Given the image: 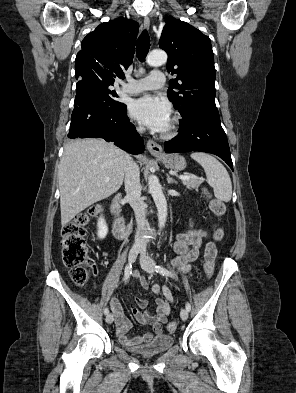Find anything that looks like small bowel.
Masks as SVG:
<instances>
[{
	"instance_id": "c3829d8e",
	"label": "small bowel",
	"mask_w": 296,
	"mask_h": 393,
	"mask_svg": "<svg viewBox=\"0 0 296 393\" xmlns=\"http://www.w3.org/2000/svg\"><path fill=\"white\" fill-rule=\"evenodd\" d=\"M207 237L208 232L202 229L187 230L178 234L174 243V250L178 253V257L174 260V264L180 272L188 273L190 271L191 263L199 258L201 245ZM215 257V246L211 242H207L204 250L205 260L214 262ZM133 277L139 281L143 288H148V280L139 271H134ZM151 289L158 295L155 301V311L153 313L148 311L141 312L138 307L146 309L149 302L142 298H135L134 303L131 304V312L138 323L152 326V332H146L134 337L129 335L132 324L124 315L119 300L115 297L110 299V305L115 316V332L122 344L132 346L149 342L154 335L162 332L163 325L167 322L170 313L171 304L174 303V298L167 285L153 284Z\"/></svg>"
}]
</instances>
